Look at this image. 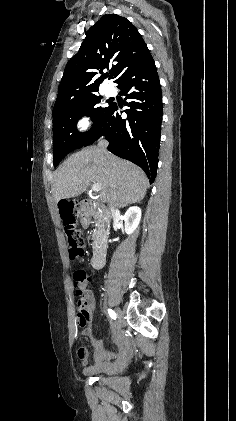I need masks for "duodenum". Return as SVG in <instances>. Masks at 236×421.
<instances>
[{"instance_id":"1","label":"duodenum","mask_w":236,"mask_h":421,"mask_svg":"<svg viewBox=\"0 0 236 421\" xmlns=\"http://www.w3.org/2000/svg\"><path fill=\"white\" fill-rule=\"evenodd\" d=\"M92 202L89 199H82L76 201L73 204V211L79 217V220L83 226L89 225L90 209ZM106 242L100 243V245L95 249L92 258L91 265L95 269H100L105 264L106 257ZM120 351L116 357H111L106 351L100 348V353L97 359V363L94 367L91 368L92 372H107L112 373L126 364L130 357V347L129 343L124 339L117 340ZM110 359H115L114 362H110Z\"/></svg>"}]
</instances>
